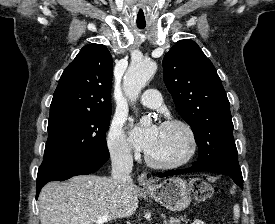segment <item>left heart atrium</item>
<instances>
[{
    "instance_id": "obj_1",
    "label": "left heart atrium",
    "mask_w": 275,
    "mask_h": 224,
    "mask_svg": "<svg viewBox=\"0 0 275 224\" xmlns=\"http://www.w3.org/2000/svg\"><path fill=\"white\" fill-rule=\"evenodd\" d=\"M160 127L151 125L148 127L135 126L131 131V141L135 147L145 152H149L159 134Z\"/></svg>"
}]
</instances>
